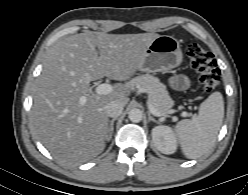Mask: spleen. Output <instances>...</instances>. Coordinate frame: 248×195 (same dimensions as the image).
<instances>
[{"label":"spleen","instance_id":"1","mask_svg":"<svg viewBox=\"0 0 248 195\" xmlns=\"http://www.w3.org/2000/svg\"><path fill=\"white\" fill-rule=\"evenodd\" d=\"M224 118V101L220 92L212 93L199 107L198 115L179 121L174 132L183 154L196 159L214 145Z\"/></svg>","mask_w":248,"mask_h":195}]
</instances>
